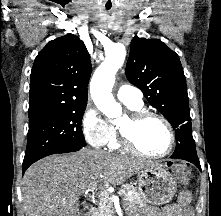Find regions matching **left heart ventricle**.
Returning <instances> with one entry per match:
<instances>
[{
    "mask_svg": "<svg viewBox=\"0 0 221 216\" xmlns=\"http://www.w3.org/2000/svg\"><path fill=\"white\" fill-rule=\"evenodd\" d=\"M136 143L148 153H162L169 145V134L158 119L148 118L137 129Z\"/></svg>",
    "mask_w": 221,
    "mask_h": 216,
    "instance_id": "left-heart-ventricle-1",
    "label": "left heart ventricle"
}]
</instances>
